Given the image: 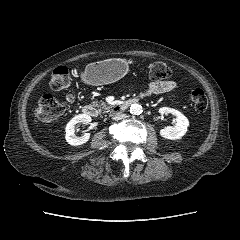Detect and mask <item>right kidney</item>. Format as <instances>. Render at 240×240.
Instances as JSON below:
<instances>
[{"label": "right kidney", "mask_w": 240, "mask_h": 240, "mask_svg": "<svg viewBox=\"0 0 240 240\" xmlns=\"http://www.w3.org/2000/svg\"><path fill=\"white\" fill-rule=\"evenodd\" d=\"M91 117L87 114H79L73 117L66 125V141L68 144L72 146H78L86 143L89 138L90 134L86 133L81 137H78L75 135V126L77 124L83 123V124H88L91 122Z\"/></svg>", "instance_id": "1"}]
</instances>
